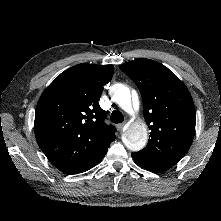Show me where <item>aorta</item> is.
I'll return each mask as SVG.
<instances>
[{
    "instance_id": "762f6f07",
    "label": "aorta",
    "mask_w": 221,
    "mask_h": 221,
    "mask_svg": "<svg viewBox=\"0 0 221 221\" xmlns=\"http://www.w3.org/2000/svg\"><path fill=\"white\" fill-rule=\"evenodd\" d=\"M113 100L126 112L139 107L138 95L134 92L131 95L130 89L123 84H115L112 88ZM148 131L144 122H136L132 124L123 134V143L131 151H139L143 149L147 143Z\"/></svg>"
}]
</instances>
